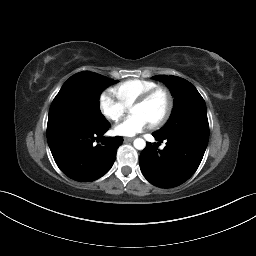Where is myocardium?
<instances>
[{
	"label": "myocardium",
	"mask_w": 256,
	"mask_h": 256,
	"mask_svg": "<svg viewBox=\"0 0 256 256\" xmlns=\"http://www.w3.org/2000/svg\"><path fill=\"white\" fill-rule=\"evenodd\" d=\"M158 93H162L165 95V97L167 99V106H166V109H165V112L163 113V115L156 121L150 123V125L153 128H157V127H160L163 124H165L172 113V110L174 107V97H173L172 93L170 92V90L163 86L154 87V88L146 91L145 93H143L133 104L134 106L135 105H145Z\"/></svg>",
	"instance_id": "f54148a6"
}]
</instances>
